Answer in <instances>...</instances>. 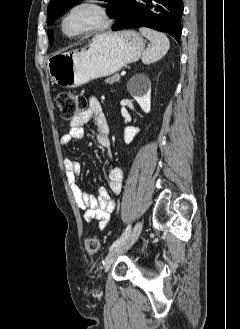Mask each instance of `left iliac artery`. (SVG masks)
Masks as SVG:
<instances>
[{
	"label": "left iliac artery",
	"instance_id": "44dca946",
	"mask_svg": "<svg viewBox=\"0 0 240 329\" xmlns=\"http://www.w3.org/2000/svg\"><path fill=\"white\" fill-rule=\"evenodd\" d=\"M131 233V225H128L121 237H119L110 247V251L116 249Z\"/></svg>",
	"mask_w": 240,
	"mask_h": 329
}]
</instances>
